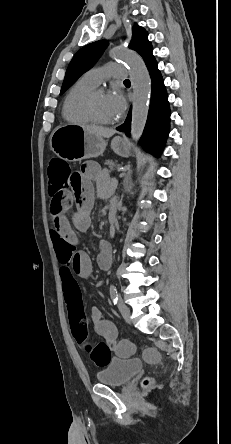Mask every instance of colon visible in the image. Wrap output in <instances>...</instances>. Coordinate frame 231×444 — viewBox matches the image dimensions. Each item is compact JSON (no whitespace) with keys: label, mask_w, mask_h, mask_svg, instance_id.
<instances>
[{"label":"colon","mask_w":231,"mask_h":444,"mask_svg":"<svg viewBox=\"0 0 231 444\" xmlns=\"http://www.w3.org/2000/svg\"><path fill=\"white\" fill-rule=\"evenodd\" d=\"M76 177L77 172L73 171L66 162L59 159L51 160L48 167V193L51 197V209L59 208L63 191L72 186ZM67 303L72 335L95 365L105 366L111 358L112 351L118 353L133 351L134 345L128 340L92 344L88 338V320L80 297L68 296ZM144 357L154 362L159 359V353L153 348H147L144 351ZM149 384L150 379L146 378L143 385Z\"/></svg>","instance_id":"colon-1"}]
</instances>
